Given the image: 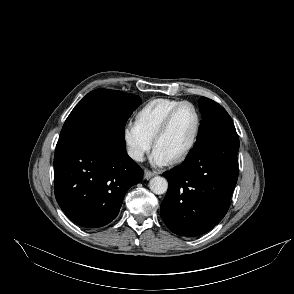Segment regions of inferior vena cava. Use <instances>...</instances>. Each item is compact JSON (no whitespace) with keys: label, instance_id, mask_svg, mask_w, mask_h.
Masks as SVG:
<instances>
[{"label":"inferior vena cava","instance_id":"obj_1","mask_svg":"<svg viewBox=\"0 0 294 294\" xmlns=\"http://www.w3.org/2000/svg\"><path fill=\"white\" fill-rule=\"evenodd\" d=\"M128 155L136 161L142 162L144 160L143 159V152L141 150H138L135 148H129Z\"/></svg>","mask_w":294,"mask_h":294}]
</instances>
